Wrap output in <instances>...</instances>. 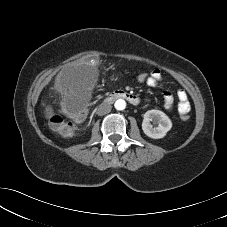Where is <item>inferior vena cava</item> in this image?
<instances>
[{"mask_svg": "<svg viewBox=\"0 0 227 227\" xmlns=\"http://www.w3.org/2000/svg\"><path fill=\"white\" fill-rule=\"evenodd\" d=\"M112 109V106L108 103H101L99 106H98V109H97V114L102 116V115H105L107 113H109Z\"/></svg>", "mask_w": 227, "mask_h": 227, "instance_id": "obj_1", "label": "inferior vena cava"}]
</instances>
